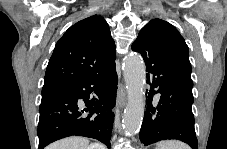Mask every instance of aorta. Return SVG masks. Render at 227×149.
<instances>
[{
  "label": "aorta",
  "instance_id": "aorta-1",
  "mask_svg": "<svg viewBox=\"0 0 227 149\" xmlns=\"http://www.w3.org/2000/svg\"><path fill=\"white\" fill-rule=\"evenodd\" d=\"M123 75L128 98L122 120L123 129L125 134L134 135L140 130L145 110L146 72L139 55H128L124 59Z\"/></svg>",
  "mask_w": 227,
  "mask_h": 149
}]
</instances>
